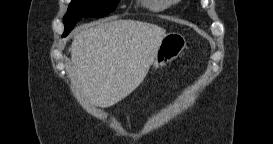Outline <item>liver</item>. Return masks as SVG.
<instances>
[{
    "label": "liver",
    "mask_w": 273,
    "mask_h": 144,
    "mask_svg": "<svg viewBox=\"0 0 273 144\" xmlns=\"http://www.w3.org/2000/svg\"><path fill=\"white\" fill-rule=\"evenodd\" d=\"M165 35L155 24L134 20L85 26L71 45L78 89L97 106L115 105L142 83Z\"/></svg>",
    "instance_id": "1"
}]
</instances>
